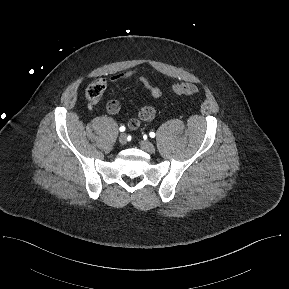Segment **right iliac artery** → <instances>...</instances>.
Listing matches in <instances>:
<instances>
[{"label":"right iliac artery","mask_w":289,"mask_h":289,"mask_svg":"<svg viewBox=\"0 0 289 289\" xmlns=\"http://www.w3.org/2000/svg\"><path fill=\"white\" fill-rule=\"evenodd\" d=\"M125 127L124 126H121L120 128H119V130L121 131V132H124L125 131Z\"/></svg>","instance_id":"1"}]
</instances>
